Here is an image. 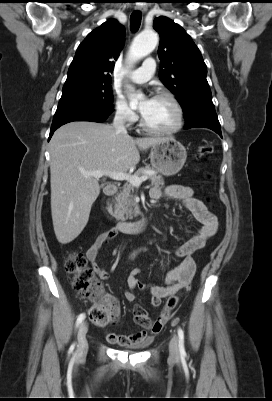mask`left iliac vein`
<instances>
[{"label":"left iliac vein","mask_w":272,"mask_h":401,"mask_svg":"<svg viewBox=\"0 0 272 401\" xmlns=\"http://www.w3.org/2000/svg\"><path fill=\"white\" fill-rule=\"evenodd\" d=\"M179 339L177 335H173L169 343V352L172 358H178L179 356Z\"/></svg>","instance_id":"obj_1"}]
</instances>
